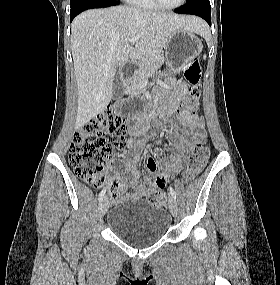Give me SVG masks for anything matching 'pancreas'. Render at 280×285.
Listing matches in <instances>:
<instances>
[{
  "instance_id": "pancreas-1",
  "label": "pancreas",
  "mask_w": 280,
  "mask_h": 285,
  "mask_svg": "<svg viewBox=\"0 0 280 285\" xmlns=\"http://www.w3.org/2000/svg\"><path fill=\"white\" fill-rule=\"evenodd\" d=\"M164 62L161 55L156 57H144L138 65V70L129 82L127 93L134 94L140 91L144 80L152 75Z\"/></svg>"
}]
</instances>
